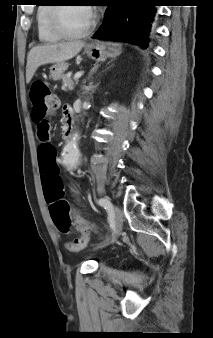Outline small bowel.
Instances as JSON below:
<instances>
[{
  "instance_id": "small-bowel-1",
  "label": "small bowel",
  "mask_w": 213,
  "mask_h": 338,
  "mask_svg": "<svg viewBox=\"0 0 213 338\" xmlns=\"http://www.w3.org/2000/svg\"><path fill=\"white\" fill-rule=\"evenodd\" d=\"M71 111H72V108L70 107V105H65L63 107V115L65 117V120L68 119V116L71 114ZM44 122L48 123V120H44ZM43 146H50V144L43 143L41 145V148ZM39 170H40V176H41V181L43 185L44 199H45V202L48 206V209L51 215V207L56 203L65 201L62 196L63 182L60 176V167L54 155H51L50 157H46L43 154V152L40 151ZM72 214L74 215L75 221L79 222L80 216L75 211V209H72ZM55 225L58 228V230L61 231L62 233H68L71 230V224L69 220L67 221V225L64 227H59L56 223Z\"/></svg>"
}]
</instances>
